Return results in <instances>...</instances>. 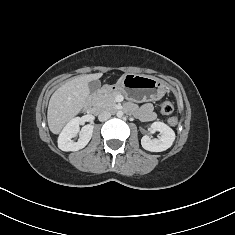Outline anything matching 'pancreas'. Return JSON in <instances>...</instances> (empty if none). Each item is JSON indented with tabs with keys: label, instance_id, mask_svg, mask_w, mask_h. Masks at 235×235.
<instances>
[{
	"label": "pancreas",
	"instance_id": "pancreas-1",
	"mask_svg": "<svg viewBox=\"0 0 235 235\" xmlns=\"http://www.w3.org/2000/svg\"><path fill=\"white\" fill-rule=\"evenodd\" d=\"M119 95L117 91H105L103 93H98L94 97V101L97 107L114 110L117 107L115 98Z\"/></svg>",
	"mask_w": 235,
	"mask_h": 235
}]
</instances>
